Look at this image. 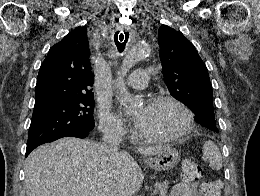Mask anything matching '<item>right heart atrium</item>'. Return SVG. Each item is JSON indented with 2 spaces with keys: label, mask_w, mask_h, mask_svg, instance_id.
<instances>
[{
  "label": "right heart atrium",
  "mask_w": 260,
  "mask_h": 196,
  "mask_svg": "<svg viewBox=\"0 0 260 196\" xmlns=\"http://www.w3.org/2000/svg\"><path fill=\"white\" fill-rule=\"evenodd\" d=\"M100 128L103 132L126 129L123 118L112 111L110 106H102L99 110Z\"/></svg>",
  "instance_id": "d8ad5b80"
}]
</instances>
